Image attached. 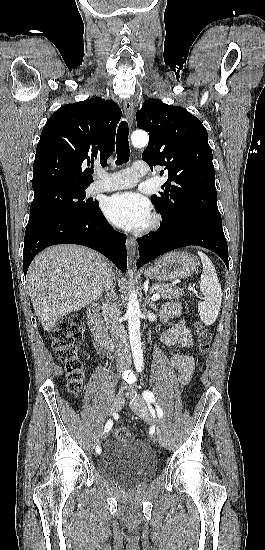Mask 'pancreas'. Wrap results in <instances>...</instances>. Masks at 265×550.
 <instances>
[{
	"label": "pancreas",
	"instance_id": "cf45deb5",
	"mask_svg": "<svg viewBox=\"0 0 265 550\" xmlns=\"http://www.w3.org/2000/svg\"><path fill=\"white\" fill-rule=\"evenodd\" d=\"M152 290L159 293L163 300L178 299L184 295V292L179 287L170 284H153Z\"/></svg>",
	"mask_w": 265,
	"mask_h": 550
}]
</instances>
